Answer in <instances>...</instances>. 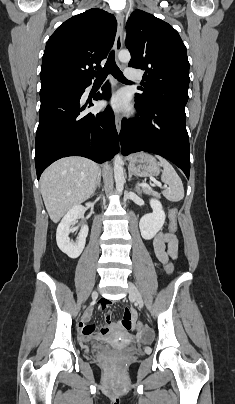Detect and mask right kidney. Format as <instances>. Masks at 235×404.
Wrapping results in <instances>:
<instances>
[{
	"label": "right kidney",
	"mask_w": 235,
	"mask_h": 404,
	"mask_svg": "<svg viewBox=\"0 0 235 404\" xmlns=\"http://www.w3.org/2000/svg\"><path fill=\"white\" fill-rule=\"evenodd\" d=\"M86 205L88 207L93 206L92 203H87ZM82 209V206L71 208L61 220L56 232V241L59 249L72 259L80 256L85 247L86 237L88 235V226L83 225L76 243H73L69 238L70 233L73 231L71 226L75 225Z\"/></svg>",
	"instance_id": "ca27d5eb"
}]
</instances>
